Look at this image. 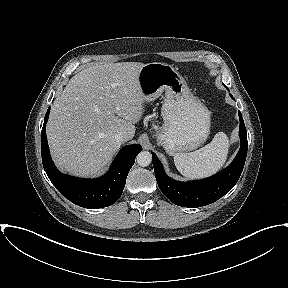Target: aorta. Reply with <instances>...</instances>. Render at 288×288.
Segmentation results:
<instances>
[{
  "instance_id": "aorta-1",
  "label": "aorta",
  "mask_w": 288,
  "mask_h": 288,
  "mask_svg": "<svg viewBox=\"0 0 288 288\" xmlns=\"http://www.w3.org/2000/svg\"><path fill=\"white\" fill-rule=\"evenodd\" d=\"M136 161H137L138 165H140L141 167H146V166L150 165V163L152 161V155L148 151H141L137 155Z\"/></svg>"
}]
</instances>
